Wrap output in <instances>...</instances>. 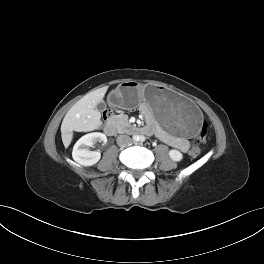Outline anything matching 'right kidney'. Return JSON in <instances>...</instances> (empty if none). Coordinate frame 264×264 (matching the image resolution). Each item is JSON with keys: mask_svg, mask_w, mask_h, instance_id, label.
Listing matches in <instances>:
<instances>
[{"mask_svg": "<svg viewBox=\"0 0 264 264\" xmlns=\"http://www.w3.org/2000/svg\"><path fill=\"white\" fill-rule=\"evenodd\" d=\"M98 141L106 143V135L94 132L82 136L73 147L72 157L74 161L82 166H93L96 164L100 160L101 154L97 151H91L89 147H92Z\"/></svg>", "mask_w": 264, "mask_h": 264, "instance_id": "right-kidney-1", "label": "right kidney"}]
</instances>
